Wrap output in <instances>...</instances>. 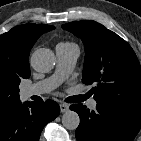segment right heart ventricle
Segmentation results:
<instances>
[{"instance_id": "right-heart-ventricle-1", "label": "right heart ventricle", "mask_w": 141, "mask_h": 141, "mask_svg": "<svg viewBox=\"0 0 141 141\" xmlns=\"http://www.w3.org/2000/svg\"><path fill=\"white\" fill-rule=\"evenodd\" d=\"M61 45H74L72 43H60Z\"/></svg>"}]
</instances>
